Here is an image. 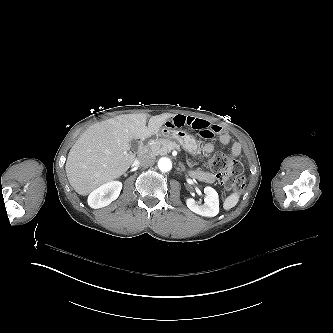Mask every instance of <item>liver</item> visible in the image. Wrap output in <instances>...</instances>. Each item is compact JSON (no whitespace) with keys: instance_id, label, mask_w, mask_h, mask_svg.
<instances>
[{"instance_id":"obj_1","label":"liver","mask_w":333,"mask_h":333,"mask_svg":"<svg viewBox=\"0 0 333 333\" xmlns=\"http://www.w3.org/2000/svg\"><path fill=\"white\" fill-rule=\"evenodd\" d=\"M174 113L151 116L147 113L123 114L91 125L70 149L65 171L74 190L88 196L100 186L124 175L136 155L129 143L155 135Z\"/></svg>"}]
</instances>
